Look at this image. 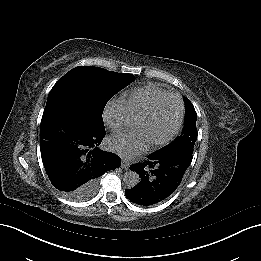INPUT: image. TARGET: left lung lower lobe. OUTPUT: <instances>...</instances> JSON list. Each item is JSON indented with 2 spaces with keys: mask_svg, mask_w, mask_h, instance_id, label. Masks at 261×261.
Wrapping results in <instances>:
<instances>
[{
  "mask_svg": "<svg viewBox=\"0 0 261 261\" xmlns=\"http://www.w3.org/2000/svg\"><path fill=\"white\" fill-rule=\"evenodd\" d=\"M191 160V155L182 153L156 152L150 155L145 163H136L131 166L139 173L141 182L133 189H127L126 196L131 201L143 205H151L164 200L180 184Z\"/></svg>",
  "mask_w": 261,
  "mask_h": 261,
  "instance_id": "left-lung-lower-lobe-1",
  "label": "left lung lower lobe"
}]
</instances>
